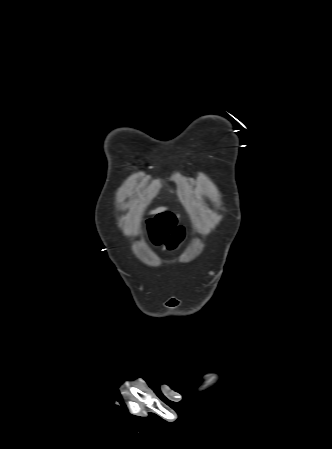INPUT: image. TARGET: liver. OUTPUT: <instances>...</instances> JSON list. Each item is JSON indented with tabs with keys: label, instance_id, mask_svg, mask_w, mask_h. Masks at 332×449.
Masks as SVG:
<instances>
[{
	"label": "liver",
	"instance_id": "6515ba94",
	"mask_svg": "<svg viewBox=\"0 0 332 449\" xmlns=\"http://www.w3.org/2000/svg\"><path fill=\"white\" fill-rule=\"evenodd\" d=\"M165 209H166V208H164V207L157 208V209L153 210V211L151 212V214H157V213H159V212L164 211Z\"/></svg>",
	"mask_w": 332,
	"mask_h": 449
}]
</instances>
